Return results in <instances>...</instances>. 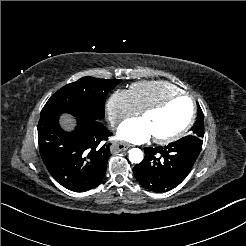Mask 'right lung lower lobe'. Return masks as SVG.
Listing matches in <instances>:
<instances>
[{"label": "right lung lower lobe", "instance_id": "right-lung-lower-lobe-1", "mask_svg": "<svg viewBox=\"0 0 246 246\" xmlns=\"http://www.w3.org/2000/svg\"><path fill=\"white\" fill-rule=\"evenodd\" d=\"M59 116L40 117L38 140L41 157L48 171L65 188L85 192L97 186L104 177L112 135L100 120L77 119L73 132H65Z\"/></svg>", "mask_w": 246, "mask_h": 246}]
</instances>
